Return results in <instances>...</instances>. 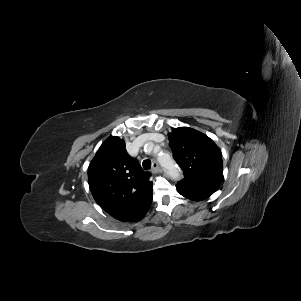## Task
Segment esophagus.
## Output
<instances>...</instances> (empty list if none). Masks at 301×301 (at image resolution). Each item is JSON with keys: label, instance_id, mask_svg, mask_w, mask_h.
I'll return each instance as SVG.
<instances>
[{"label": "esophagus", "instance_id": "1", "mask_svg": "<svg viewBox=\"0 0 301 301\" xmlns=\"http://www.w3.org/2000/svg\"><path fill=\"white\" fill-rule=\"evenodd\" d=\"M161 171V168L157 162H153L152 164V173H159Z\"/></svg>", "mask_w": 301, "mask_h": 301}]
</instances>
